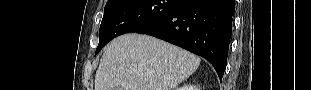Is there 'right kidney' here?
<instances>
[{
	"label": "right kidney",
	"instance_id": "1",
	"mask_svg": "<svg viewBox=\"0 0 311 90\" xmlns=\"http://www.w3.org/2000/svg\"><path fill=\"white\" fill-rule=\"evenodd\" d=\"M177 90H200V88L194 85H186L182 86L181 88H178Z\"/></svg>",
	"mask_w": 311,
	"mask_h": 90
}]
</instances>
